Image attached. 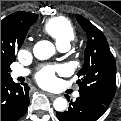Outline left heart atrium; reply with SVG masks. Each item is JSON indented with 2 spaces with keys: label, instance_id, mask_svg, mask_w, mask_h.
<instances>
[{
  "label": "left heart atrium",
  "instance_id": "left-heart-atrium-1",
  "mask_svg": "<svg viewBox=\"0 0 121 121\" xmlns=\"http://www.w3.org/2000/svg\"><path fill=\"white\" fill-rule=\"evenodd\" d=\"M58 67H46L37 74V82L45 87L52 86L56 81L55 73L58 71Z\"/></svg>",
  "mask_w": 121,
  "mask_h": 121
}]
</instances>
